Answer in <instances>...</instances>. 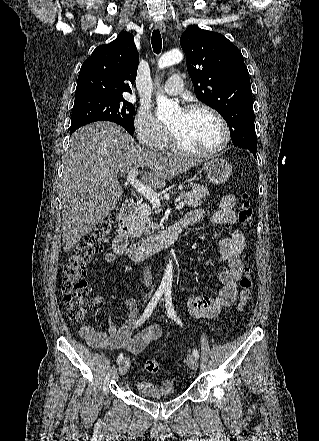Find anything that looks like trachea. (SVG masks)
Segmentation results:
<instances>
[{
  "instance_id": "trachea-1",
  "label": "trachea",
  "mask_w": 319,
  "mask_h": 441,
  "mask_svg": "<svg viewBox=\"0 0 319 441\" xmlns=\"http://www.w3.org/2000/svg\"><path fill=\"white\" fill-rule=\"evenodd\" d=\"M151 44L156 54H160L162 49V38L158 29L154 30L151 37Z\"/></svg>"
}]
</instances>
